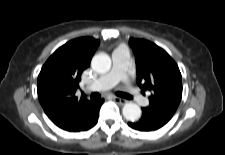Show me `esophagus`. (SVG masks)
Here are the masks:
<instances>
[{
  "label": "esophagus",
  "instance_id": "1",
  "mask_svg": "<svg viewBox=\"0 0 225 155\" xmlns=\"http://www.w3.org/2000/svg\"><path fill=\"white\" fill-rule=\"evenodd\" d=\"M113 99H114L115 102H117L120 105H124L126 103V100L125 99H122L120 97L114 96Z\"/></svg>",
  "mask_w": 225,
  "mask_h": 155
}]
</instances>
